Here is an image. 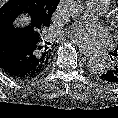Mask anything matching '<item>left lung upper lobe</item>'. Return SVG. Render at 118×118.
I'll list each match as a JSON object with an SVG mask.
<instances>
[{
    "instance_id": "1",
    "label": "left lung upper lobe",
    "mask_w": 118,
    "mask_h": 118,
    "mask_svg": "<svg viewBox=\"0 0 118 118\" xmlns=\"http://www.w3.org/2000/svg\"><path fill=\"white\" fill-rule=\"evenodd\" d=\"M111 54H118V47L114 51H112Z\"/></svg>"
}]
</instances>
